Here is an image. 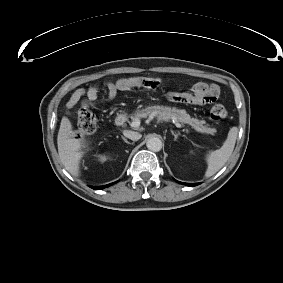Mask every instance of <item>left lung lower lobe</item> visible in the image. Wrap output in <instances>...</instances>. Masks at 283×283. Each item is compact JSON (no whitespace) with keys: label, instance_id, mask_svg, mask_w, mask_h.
<instances>
[{"label":"left lung lower lobe","instance_id":"1","mask_svg":"<svg viewBox=\"0 0 283 283\" xmlns=\"http://www.w3.org/2000/svg\"><path fill=\"white\" fill-rule=\"evenodd\" d=\"M176 182H178V183H182V182H179V181H177V180H175ZM182 184H185V185H187V186H195L196 184H190V183H182Z\"/></svg>","mask_w":283,"mask_h":283}]
</instances>
